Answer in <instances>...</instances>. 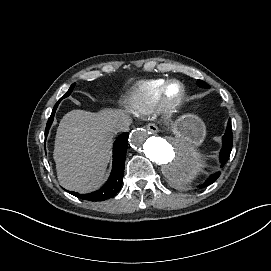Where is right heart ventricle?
<instances>
[{
	"label": "right heart ventricle",
	"mask_w": 271,
	"mask_h": 271,
	"mask_svg": "<svg viewBox=\"0 0 271 271\" xmlns=\"http://www.w3.org/2000/svg\"><path fill=\"white\" fill-rule=\"evenodd\" d=\"M167 82L162 77L138 81L129 99L130 109L138 115L149 113L161 101Z\"/></svg>",
	"instance_id": "obj_1"
}]
</instances>
